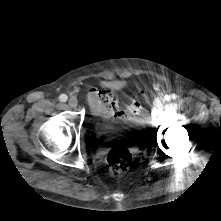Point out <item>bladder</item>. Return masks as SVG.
Wrapping results in <instances>:
<instances>
[{"mask_svg":"<svg viewBox=\"0 0 221 221\" xmlns=\"http://www.w3.org/2000/svg\"><path fill=\"white\" fill-rule=\"evenodd\" d=\"M96 132L105 136H121L130 133L133 130H143V124L135 117L129 122H122L120 120L107 119L104 122H97L95 124Z\"/></svg>","mask_w":221,"mask_h":221,"instance_id":"bladder-1","label":"bladder"}]
</instances>
